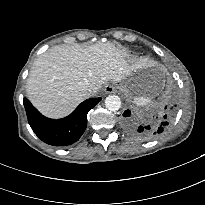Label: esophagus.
I'll return each instance as SVG.
<instances>
[{
	"label": "esophagus",
	"mask_w": 205,
	"mask_h": 205,
	"mask_svg": "<svg viewBox=\"0 0 205 205\" xmlns=\"http://www.w3.org/2000/svg\"><path fill=\"white\" fill-rule=\"evenodd\" d=\"M116 87L113 84H107L104 88L105 93L107 94H111L113 92H115Z\"/></svg>",
	"instance_id": "1"
}]
</instances>
